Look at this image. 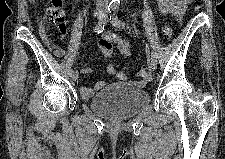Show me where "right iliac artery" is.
<instances>
[{
  "mask_svg": "<svg viewBox=\"0 0 225 159\" xmlns=\"http://www.w3.org/2000/svg\"><path fill=\"white\" fill-rule=\"evenodd\" d=\"M112 9H113V8L110 7V6H108V7L105 9V12H104V14H103V17L99 20V22L97 23V25H96V27H95V29H94L95 34H100L101 32H103V30H104V25H105L106 15H107V13H109V12L111 13ZM72 72H74L73 69L70 70V74H71Z\"/></svg>",
  "mask_w": 225,
  "mask_h": 159,
  "instance_id": "right-iliac-artery-1",
  "label": "right iliac artery"
}]
</instances>
